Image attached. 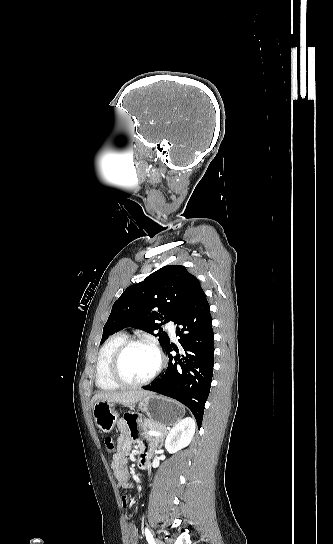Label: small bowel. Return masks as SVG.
I'll return each instance as SVG.
<instances>
[{"label": "small bowel", "instance_id": "1", "mask_svg": "<svg viewBox=\"0 0 333 544\" xmlns=\"http://www.w3.org/2000/svg\"><path fill=\"white\" fill-rule=\"evenodd\" d=\"M118 428L120 431L116 451L112 456L111 465L113 468L114 476L118 482L119 487L129 488V472L127 469V455L133 442L137 443L141 451L149 452L150 442L148 440H142L138 437L137 420L134 418H125L118 422ZM130 499L127 496H122L121 504L124 508L129 506ZM127 534L130 544L138 543V532L134 525H127Z\"/></svg>", "mask_w": 333, "mask_h": 544}]
</instances>
